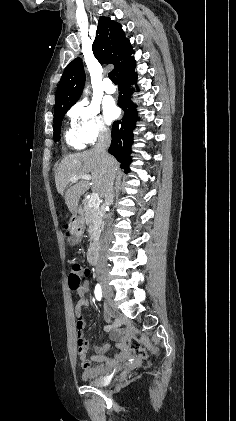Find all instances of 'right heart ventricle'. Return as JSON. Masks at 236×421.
I'll return each instance as SVG.
<instances>
[{
  "label": "right heart ventricle",
  "instance_id": "obj_1",
  "mask_svg": "<svg viewBox=\"0 0 236 421\" xmlns=\"http://www.w3.org/2000/svg\"><path fill=\"white\" fill-rule=\"evenodd\" d=\"M65 141L68 147L73 150H82L86 146V143L78 136L73 128L66 131Z\"/></svg>",
  "mask_w": 236,
  "mask_h": 421
}]
</instances>
